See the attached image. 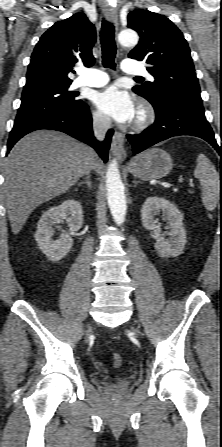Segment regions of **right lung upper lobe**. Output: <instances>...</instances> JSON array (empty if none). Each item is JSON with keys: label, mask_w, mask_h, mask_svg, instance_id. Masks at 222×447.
Masks as SVG:
<instances>
[{"label": "right lung upper lobe", "mask_w": 222, "mask_h": 447, "mask_svg": "<svg viewBox=\"0 0 222 447\" xmlns=\"http://www.w3.org/2000/svg\"><path fill=\"white\" fill-rule=\"evenodd\" d=\"M95 41V27L84 13L56 22L41 36L32 53L24 91L70 85L72 80L67 75L78 61L94 64Z\"/></svg>", "instance_id": "right-lung-upper-lobe-1"}]
</instances>
